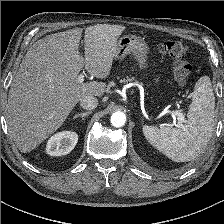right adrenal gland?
I'll return each mask as SVG.
<instances>
[{
  "label": "right adrenal gland",
  "mask_w": 224,
  "mask_h": 224,
  "mask_svg": "<svg viewBox=\"0 0 224 224\" xmlns=\"http://www.w3.org/2000/svg\"><path fill=\"white\" fill-rule=\"evenodd\" d=\"M91 113V111H88V112H83V113H78L74 116V119L78 118V117H81L82 120L85 119L86 116H88L89 114Z\"/></svg>",
  "instance_id": "obj_1"
}]
</instances>
